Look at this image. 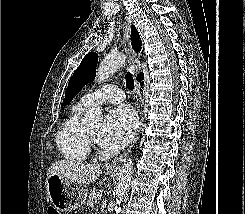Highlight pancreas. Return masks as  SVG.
I'll return each instance as SVG.
<instances>
[{"instance_id":"cf45deb5","label":"pancreas","mask_w":245,"mask_h":214,"mask_svg":"<svg viewBox=\"0 0 245 214\" xmlns=\"http://www.w3.org/2000/svg\"><path fill=\"white\" fill-rule=\"evenodd\" d=\"M100 193L99 190H97L96 187H93V189L90 190V193L88 195L87 205L92 207L96 203L97 195Z\"/></svg>"}]
</instances>
